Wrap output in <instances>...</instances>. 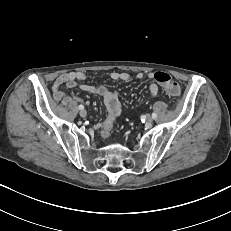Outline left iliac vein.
<instances>
[{"instance_id":"4c4485c4","label":"left iliac vein","mask_w":231,"mask_h":231,"mask_svg":"<svg viewBox=\"0 0 231 231\" xmlns=\"http://www.w3.org/2000/svg\"><path fill=\"white\" fill-rule=\"evenodd\" d=\"M152 123H153V118L150 117V116H148V117L146 118V125H147V126H150V125H152Z\"/></svg>"}]
</instances>
